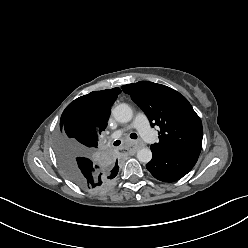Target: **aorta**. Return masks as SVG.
Returning <instances> with one entry per match:
<instances>
[{
    "label": "aorta",
    "instance_id": "762f6f07",
    "mask_svg": "<svg viewBox=\"0 0 248 248\" xmlns=\"http://www.w3.org/2000/svg\"><path fill=\"white\" fill-rule=\"evenodd\" d=\"M112 114L116 121L120 123H127L131 121L133 117L132 109L125 103L117 105L113 110ZM137 159L141 163H148L152 159V152L149 148L144 147L138 150Z\"/></svg>",
    "mask_w": 248,
    "mask_h": 248
}]
</instances>
